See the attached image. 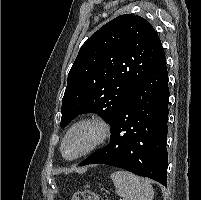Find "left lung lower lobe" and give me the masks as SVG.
Masks as SVG:
<instances>
[{"instance_id":"1","label":"left lung lower lobe","mask_w":201,"mask_h":200,"mask_svg":"<svg viewBox=\"0 0 201 200\" xmlns=\"http://www.w3.org/2000/svg\"><path fill=\"white\" fill-rule=\"evenodd\" d=\"M168 103V72L163 55L116 111L110 122V144L79 166L107 164L166 186Z\"/></svg>"}]
</instances>
